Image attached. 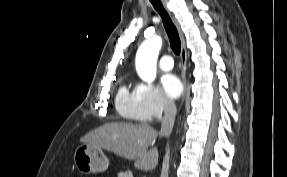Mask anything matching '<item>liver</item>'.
Wrapping results in <instances>:
<instances>
[{
    "label": "liver",
    "mask_w": 287,
    "mask_h": 177,
    "mask_svg": "<svg viewBox=\"0 0 287 177\" xmlns=\"http://www.w3.org/2000/svg\"><path fill=\"white\" fill-rule=\"evenodd\" d=\"M158 133L148 124L109 122L86 134L81 142L113 152L128 160H134L135 167L149 171L158 165V149L152 147Z\"/></svg>",
    "instance_id": "liver-1"
}]
</instances>
